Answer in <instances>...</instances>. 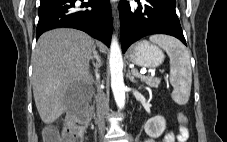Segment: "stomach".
I'll use <instances>...</instances> for the list:
<instances>
[{
    "instance_id": "0dacf381",
    "label": "stomach",
    "mask_w": 227,
    "mask_h": 142,
    "mask_svg": "<svg viewBox=\"0 0 227 142\" xmlns=\"http://www.w3.org/2000/svg\"><path fill=\"white\" fill-rule=\"evenodd\" d=\"M128 57L133 64L146 68L157 67L164 60L160 48L145 40L134 44L128 52Z\"/></svg>"
}]
</instances>
